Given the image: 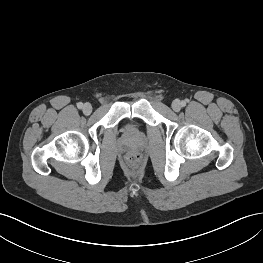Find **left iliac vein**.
<instances>
[{
    "instance_id": "4c4485c4",
    "label": "left iliac vein",
    "mask_w": 263,
    "mask_h": 263,
    "mask_svg": "<svg viewBox=\"0 0 263 263\" xmlns=\"http://www.w3.org/2000/svg\"><path fill=\"white\" fill-rule=\"evenodd\" d=\"M181 107H182V105H181V102L179 100L176 99L172 102V109L175 112H179L181 110Z\"/></svg>"
}]
</instances>
